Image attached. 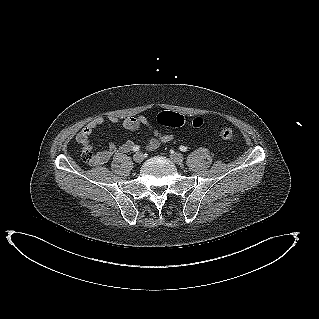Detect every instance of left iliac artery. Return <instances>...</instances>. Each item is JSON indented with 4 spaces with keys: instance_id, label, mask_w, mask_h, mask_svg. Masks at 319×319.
Returning <instances> with one entry per match:
<instances>
[{
    "instance_id": "44dca946",
    "label": "left iliac artery",
    "mask_w": 319,
    "mask_h": 319,
    "mask_svg": "<svg viewBox=\"0 0 319 319\" xmlns=\"http://www.w3.org/2000/svg\"><path fill=\"white\" fill-rule=\"evenodd\" d=\"M182 152H186L187 151V147L186 146H180L179 148Z\"/></svg>"
}]
</instances>
